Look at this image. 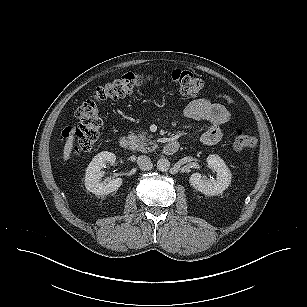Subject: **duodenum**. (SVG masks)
<instances>
[{"mask_svg":"<svg viewBox=\"0 0 307 307\" xmlns=\"http://www.w3.org/2000/svg\"><path fill=\"white\" fill-rule=\"evenodd\" d=\"M132 145H133V139L129 136H122L119 139V146L122 149L127 150L131 148ZM179 147H180V144L177 140H171L167 142L165 146L163 147V153L168 156L173 155L174 153L178 151Z\"/></svg>","mask_w":307,"mask_h":307,"instance_id":"410a0bca","label":"duodenum"}]
</instances>
